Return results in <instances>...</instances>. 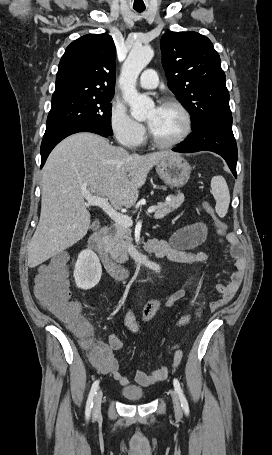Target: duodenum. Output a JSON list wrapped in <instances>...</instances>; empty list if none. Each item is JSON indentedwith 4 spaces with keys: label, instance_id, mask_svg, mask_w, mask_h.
I'll return each mask as SVG.
<instances>
[{
    "label": "duodenum",
    "instance_id": "duodenum-1",
    "mask_svg": "<svg viewBox=\"0 0 272 455\" xmlns=\"http://www.w3.org/2000/svg\"><path fill=\"white\" fill-rule=\"evenodd\" d=\"M108 233L109 228L107 226L101 227L90 235L87 240V247L90 251L97 254L104 267L113 277L125 279L129 276V270L109 251L107 246ZM143 250L146 253H154V240L147 241L143 246Z\"/></svg>",
    "mask_w": 272,
    "mask_h": 455
}]
</instances>
